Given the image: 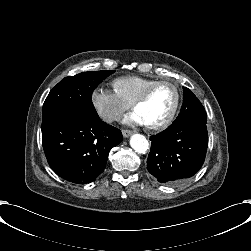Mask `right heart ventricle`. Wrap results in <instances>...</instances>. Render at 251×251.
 <instances>
[{"label": "right heart ventricle", "mask_w": 251, "mask_h": 251, "mask_svg": "<svg viewBox=\"0 0 251 251\" xmlns=\"http://www.w3.org/2000/svg\"><path fill=\"white\" fill-rule=\"evenodd\" d=\"M155 79L143 75H126L112 81L115 93L126 103L133 104Z\"/></svg>", "instance_id": "right-heart-ventricle-1"}]
</instances>
